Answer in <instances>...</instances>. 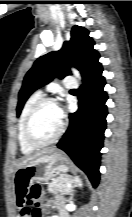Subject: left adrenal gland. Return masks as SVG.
I'll return each mask as SVG.
<instances>
[{"label": "left adrenal gland", "mask_w": 132, "mask_h": 217, "mask_svg": "<svg viewBox=\"0 0 132 217\" xmlns=\"http://www.w3.org/2000/svg\"><path fill=\"white\" fill-rule=\"evenodd\" d=\"M81 186H82V179L80 178V176H75L74 179H73V186H72L71 191H70L69 200L73 199V189L75 187H81Z\"/></svg>", "instance_id": "left-adrenal-gland-1"}]
</instances>
